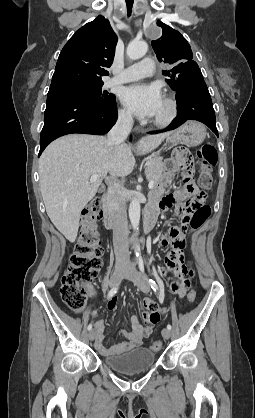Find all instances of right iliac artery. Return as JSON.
<instances>
[{"label":"right iliac artery","mask_w":255,"mask_h":418,"mask_svg":"<svg viewBox=\"0 0 255 418\" xmlns=\"http://www.w3.org/2000/svg\"><path fill=\"white\" fill-rule=\"evenodd\" d=\"M118 291V286L113 287L109 292H108V298H112L116 292ZM87 329L90 331L92 329V324H89Z\"/></svg>","instance_id":"obj_1"}]
</instances>
